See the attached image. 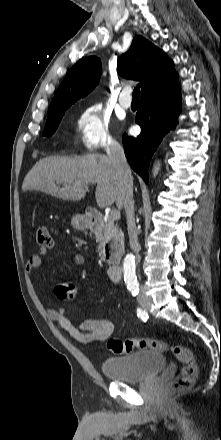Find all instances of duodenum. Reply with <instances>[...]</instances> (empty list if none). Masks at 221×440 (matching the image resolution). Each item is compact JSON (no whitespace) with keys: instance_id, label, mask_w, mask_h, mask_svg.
<instances>
[{"instance_id":"1","label":"duodenum","mask_w":221,"mask_h":440,"mask_svg":"<svg viewBox=\"0 0 221 440\" xmlns=\"http://www.w3.org/2000/svg\"><path fill=\"white\" fill-rule=\"evenodd\" d=\"M86 217H87V220H88L90 227H92V228L98 227L103 222L102 215L99 213H95L94 211H88L86 213ZM107 258H108V256H107ZM107 273H108L109 278L114 282H118L122 279V275H123L122 268L119 265H117L116 263H112L108 267Z\"/></svg>"}]
</instances>
